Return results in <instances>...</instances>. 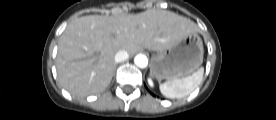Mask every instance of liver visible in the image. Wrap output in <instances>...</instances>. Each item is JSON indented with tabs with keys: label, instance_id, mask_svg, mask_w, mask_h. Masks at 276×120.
Here are the masks:
<instances>
[{
	"label": "liver",
	"instance_id": "obj_1",
	"mask_svg": "<svg viewBox=\"0 0 276 120\" xmlns=\"http://www.w3.org/2000/svg\"><path fill=\"white\" fill-rule=\"evenodd\" d=\"M198 30L190 19L156 8L139 14L76 18L59 40L58 81L73 95L100 94L114 75L118 51L162 52Z\"/></svg>",
	"mask_w": 276,
	"mask_h": 120
}]
</instances>
